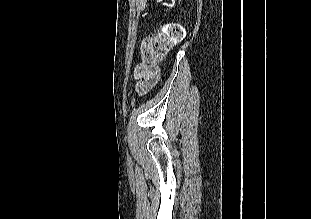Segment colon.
I'll use <instances>...</instances> for the list:
<instances>
[{"mask_svg":"<svg viewBox=\"0 0 311 219\" xmlns=\"http://www.w3.org/2000/svg\"><path fill=\"white\" fill-rule=\"evenodd\" d=\"M184 36L183 27L177 23L164 24L158 32L146 36L141 43L142 65L139 71L158 78L155 64L163 60L168 51L181 42Z\"/></svg>","mask_w":311,"mask_h":219,"instance_id":"1","label":"colon"}]
</instances>
